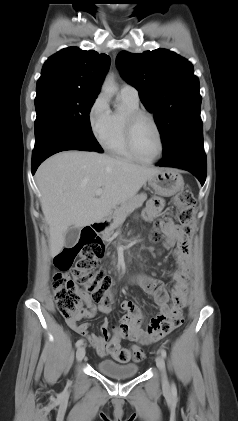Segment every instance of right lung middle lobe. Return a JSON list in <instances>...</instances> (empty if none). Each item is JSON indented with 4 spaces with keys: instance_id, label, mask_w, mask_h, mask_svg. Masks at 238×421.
Here are the masks:
<instances>
[{
    "instance_id": "dd1d6c3e",
    "label": "right lung middle lobe",
    "mask_w": 238,
    "mask_h": 421,
    "mask_svg": "<svg viewBox=\"0 0 238 421\" xmlns=\"http://www.w3.org/2000/svg\"><path fill=\"white\" fill-rule=\"evenodd\" d=\"M35 139L48 126L70 133L95 151L102 148L95 139L89 120L90 109L98 94L57 87L36 90Z\"/></svg>"
}]
</instances>
